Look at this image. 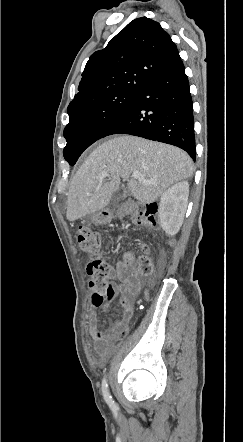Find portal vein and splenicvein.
<instances>
[{
  "label": "portal vein and splenic vein",
  "instance_id": "obj_1",
  "mask_svg": "<svg viewBox=\"0 0 243 442\" xmlns=\"http://www.w3.org/2000/svg\"><path fill=\"white\" fill-rule=\"evenodd\" d=\"M107 175H108L107 171H102V172L99 174L98 178H99L100 180H103L105 177H107ZM132 177H133L134 179H140V180H143L144 183H150L149 181L144 180L143 177L140 175V173H139L138 171H134V172H132Z\"/></svg>",
  "mask_w": 243,
  "mask_h": 442
}]
</instances>
